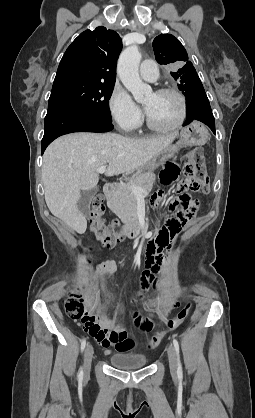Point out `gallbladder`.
Listing matches in <instances>:
<instances>
[{
	"label": "gallbladder",
	"mask_w": 255,
	"mask_h": 418,
	"mask_svg": "<svg viewBox=\"0 0 255 418\" xmlns=\"http://www.w3.org/2000/svg\"><path fill=\"white\" fill-rule=\"evenodd\" d=\"M97 192L98 188L95 187L81 193V196L77 202V207L85 217L90 215L89 206Z\"/></svg>",
	"instance_id": "obj_1"
}]
</instances>
